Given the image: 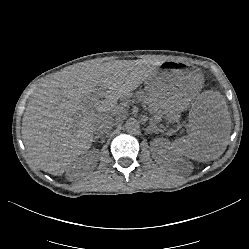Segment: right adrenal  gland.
<instances>
[{
  "label": "right adrenal gland",
  "instance_id": "2a0ac1e0",
  "mask_svg": "<svg viewBox=\"0 0 249 249\" xmlns=\"http://www.w3.org/2000/svg\"><path fill=\"white\" fill-rule=\"evenodd\" d=\"M103 133H98L96 136L93 138V142H96L99 138H101Z\"/></svg>",
  "mask_w": 249,
  "mask_h": 249
}]
</instances>
